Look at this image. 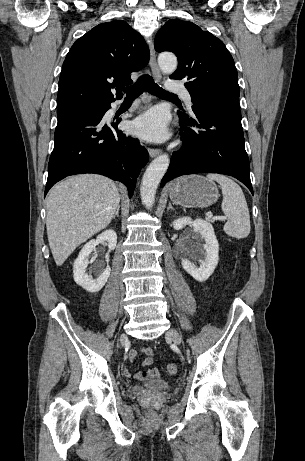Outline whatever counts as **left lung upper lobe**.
<instances>
[{"label": "left lung upper lobe", "instance_id": "1", "mask_svg": "<svg viewBox=\"0 0 305 461\" xmlns=\"http://www.w3.org/2000/svg\"><path fill=\"white\" fill-rule=\"evenodd\" d=\"M158 52L171 51L178 58L172 79H184L195 103L223 95L239 96L237 69L224 43L189 21L169 20L154 42Z\"/></svg>", "mask_w": 305, "mask_h": 461}]
</instances>
